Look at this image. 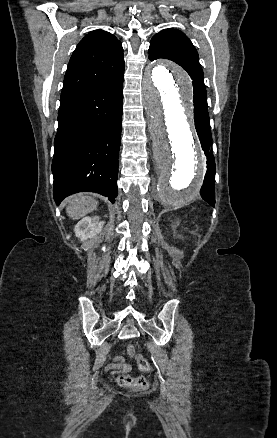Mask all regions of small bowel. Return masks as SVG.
I'll list each match as a JSON object with an SVG mask.
<instances>
[{
	"label": "small bowel",
	"instance_id": "1",
	"mask_svg": "<svg viewBox=\"0 0 277 438\" xmlns=\"http://www.w3.org/2000/svg\"><path fill=\"white\" fill-rule=\"evenodd\" d=\"M113 374L129 373L131 366L124 362L122 357H117L115 360L107 366Z\"/></svg>",
	"mask_w": 277,
	"mask_h": 438
}]
</instances>
